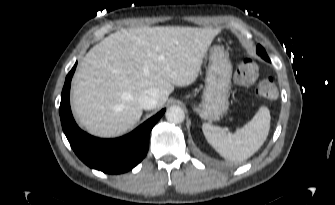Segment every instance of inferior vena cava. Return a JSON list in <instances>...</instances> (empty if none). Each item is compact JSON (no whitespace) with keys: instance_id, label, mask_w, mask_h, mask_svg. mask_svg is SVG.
I'll return each instance as SVG.
<instances>
[{"instance_id":"602c4592","label":"inferior vena cava","mask_w":335,"mask_h":205,"mask_svg":"<svg viewBox=\"0 0 335 205\" xmlns=\"http://www.w3.org/2000/svg\"><path fill=\"white\" fill-rule=\"evenodd\" d=\"M158 102V93L155 89L144 91L138 98V103L145 110L156 108Z\"/></svg>"}]
</instances>
